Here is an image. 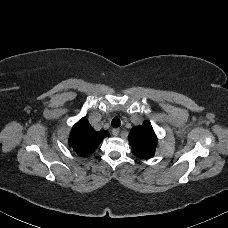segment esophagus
Wrapping results in <instances>:
<instances>
[{"label":"esophagus","mask_w":228,"mask_h":228,"mask_svg":"<svg viewBox=\"0 0 228 228\" xmlns=\"http://www.w3.org/2000/svg\"><path fill=\"white\" fill-rule=\"evenodd\" d=\"M119 132H120L119 129H113V130H112V134H113V136H115V137L119 135Z\"/></svg>","instance_id":"obj_1"}]
</instances>
